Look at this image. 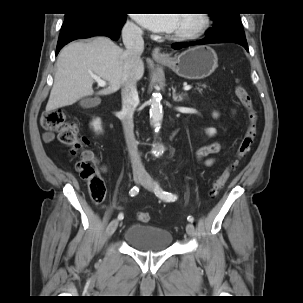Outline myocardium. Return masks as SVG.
<instances>
[{
	"label": "myocardium",
	"mask_w": 303,
	"mask_h": 303,
	"mask_svg": "<svg viewBox=\"0 0 303 303\" xmlns=\"http://www.w3.org/2000/svg\"><path fill=\"white\" fill-rule=\"evenodd\" d=\"M198 19V24L191 29L175 31L171 37L178 40H189L203 34L210 25L209 15L206 13H193Z\"/></svg>",
	"instance_id": "obj_1"
}]
</instances>
